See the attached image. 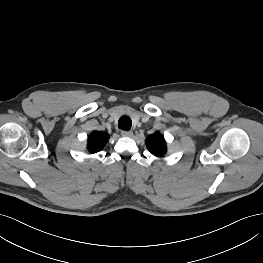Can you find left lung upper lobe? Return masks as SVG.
I'll return each instance as SVG.
<instances>
[{"instance_id": "1", "label": "left lung upper lobe", "mask_w": 263, "mask_h": 263, "mask_svg": "<svg viewBox=\"0 0 263 263\" xmlns=\"http://www.w3.org/2000/svg\"><path fill=\"white\" fill-rule=\"evenodd\" d=\"M146 145L148 150L157 157H161L166 153V143L164 137L159 132L148 136Z\"/></svg>"}]
</instances>
